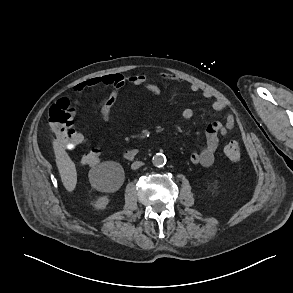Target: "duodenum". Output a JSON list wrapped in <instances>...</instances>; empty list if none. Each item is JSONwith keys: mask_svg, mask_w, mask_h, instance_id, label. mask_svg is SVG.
I'll list each match as a JSON object with an SVG mask.
<instances>
[{"mask_svg": "<svg viewBox=\"0 0 293 293\" xmlns=\"http://www.w3.org/2000/svg\"><path fill=\"white\" fill-rule=\"evenodd\" d=\"M123 155L126 160H133L138 155V150L137 149L126 150Z\"/></svg>", "mask_w": 293, "mask_h": 293, "instance_id": "1", "label": "duodenum"}]
</instances>
